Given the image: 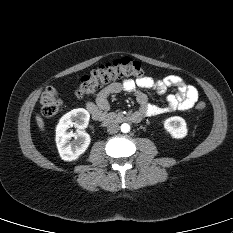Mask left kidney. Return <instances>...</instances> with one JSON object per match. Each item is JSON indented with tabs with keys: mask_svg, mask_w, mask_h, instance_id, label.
<instances>
[{
	"mask_svg": "<svg viewBox=\"0 0 233 233\" xmlns=\"http://www.w3.org/2000/svg\"><path fill=\"white\" fill-rule=\"evenodd\" d=\"M164 128L173 138L181 139L187 135L186 122L182 117L173 116L164 121Z\"/></svg>",
	"mask_w": 233,
	"mask_h": 233,
	"instance_id": "1",
	"label": "left kidney"
}]
</instances>
